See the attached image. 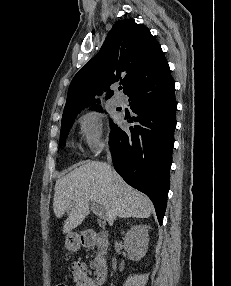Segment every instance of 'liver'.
Returning <instances> with one entry per match:
<instances>
[{"label": "liver", "mask_w": 231, "mask_h": 286, "mask_svg": "<svg viewBox=\"0 0 231 286\" xmlns=\"http://www.w3.org/2000/svg\"><path fill=\"white\" fill-rule=\"evenodd\" d=\"M103 207L107 221L116 217L148 218L153 210L151 200L130 187L108 164L91 161L74 169L55 184L53 210L57 218L65 213L63 233L69 234L89 215V203Z\"/></svg>", "instance_id": "liver-1"}]
</instances>
